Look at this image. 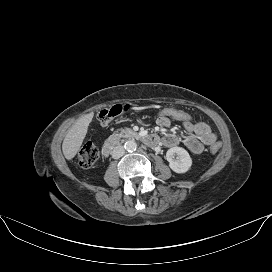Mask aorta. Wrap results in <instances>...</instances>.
I'll list each match as a JSON object with an SVG mask.
<instances>
[{
	"label": "aorta",
	"instance_id": "obj_1",
	"mask_svg": "<svg viewBox=\"0 0 272 272\" xmlns=\"http://www.w3.org/2000/svg\"><path fill=\"white\" fill-rule=\"evenodd\" d=\"M124 148L128 152L136 151L137 143L134 140H128V141L125 142Z\"/></svg>",
	"mask_w": 272,
	"mask_h": 272
}]
</instances>
